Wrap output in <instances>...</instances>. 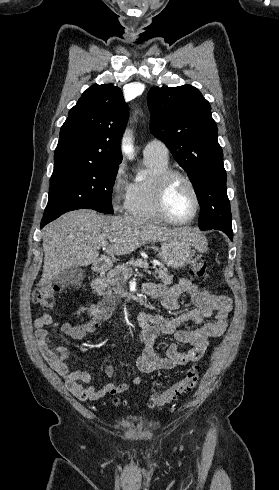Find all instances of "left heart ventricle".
I'll list each match as a JSON object with an SVG mask.
<instances>
[{
  "instance_id": "b2bd125f",
  "label": "left heart ventricle",
  "mask_w": 279,
  "mask_h": 490,
  "mask_svg": "<svg viewBox=\"0 0 279 490\" xmlns=\"http://www.w3.org/2000/svg\"><path fill=\"white\" fill-rule=\"evenodd\" d=\"M194 205V195L189 184L182 179L176 180L168 196L170 214L177 220H185L191 216Z\"/></svg>"
}]
</instances>
